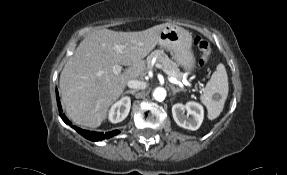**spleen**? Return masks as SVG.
I'll return each mask as SVG.
<instances>
[{
  "label": "spleen",
  "instance_id": "spleen-1",
  "mask_svg": "<svg viewBox=\"0 0 287 175\" xmlns=\"http://www.w3.org/2000/svg\"><path fill=\"white\" fill-rule=\"evenodd\" d=\"M228 91L227 72L225 66L220 63L217 65V69L212 74L211 79L207 82L203 95L200 98L208 110V118L210 120L217 118L223 111ZM214 96H217L218 99H214Z\"/></svg>",
  "mask_w": 287,
  "mask_h": 175
}]
</instances>
